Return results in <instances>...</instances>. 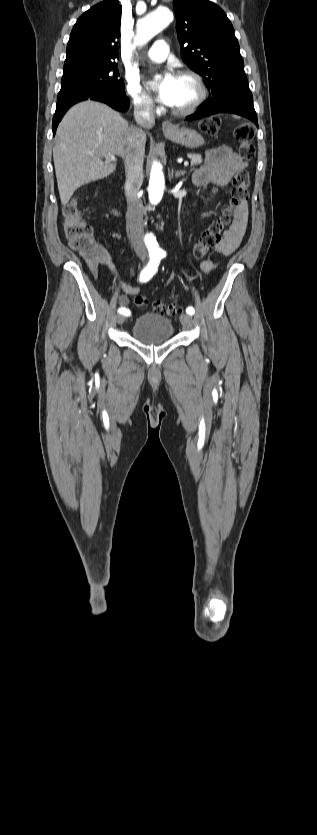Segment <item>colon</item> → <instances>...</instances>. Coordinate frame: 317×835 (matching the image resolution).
Masks as SVG:
<instances>
[{"label":"colon","instance_id":"colon-1","mask_svg":"<svg viewBox=\"0 0 317 835\" xmlns=\"http://www.w3.org/2000/svg\"><path fill=\"white\" fill-rule=\"evenodd\" d=\"M201 130L208 135H215L219 131L220 120L218 118H207L201 122ZM235 139L239 145L238 153L244 162L252 161L256 156L253 144L254 130L248 124H243L234 130ZM250 176L247 171L237 173L232 181L230 199L221 215L214 219L199 236V239L192 247V255L200 259L208 254L221 240L223 230L230 224L233 215L243 207L249 196ZM63 228L72 249L78 251L85 259L94 258L97 247L93 239L90 226L82 219L78 202L75 199L68 201L62 209ZM134 303L139 308L148 305V299L143 295H137ZM154 310L168 316L178 313L174 304L165 305L160 301L153 303Z\"/></svg>","mask_w":317,"mask_h":835}]
</instances>
